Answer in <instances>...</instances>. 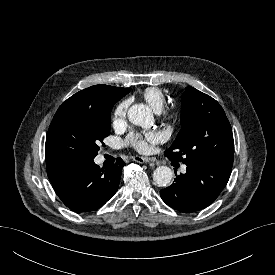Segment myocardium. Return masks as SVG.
Masks as SVG:
<instances>
[{
  "label": "myocardium",
  "mask_w": 275,
  "mask_h": 275,
  "mask_svg": "<svg viewBox=\"0 0 275 275\" xmlns=\"http://www.w3.org/2000/svg\"><path fill=\"white\" fill-rule=\"evenodd\" d=\"M161 116L169 125H179L184 117L183 109L178 105H171L161 111Z\"/></svg>",
  "instance_id": "1"
}]
</instances>
